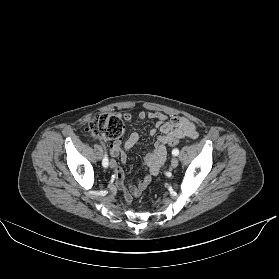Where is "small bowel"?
I'll return each mask as SVG.
<instances>
[{"mask_svg":"<svg viewBox=\"0 0 279 279\" xmlns=\"http://www.w3.org/2000/svg\"><path fill=\"white\" fill-rule=\"evenodd\" d=\"M122 118L129 122L133 119V116L131 113L126 112L122 115ZM138 118L155 120V126L150 130V134L156 135L158 131L160 134L157 136V142L154 148L144 155V165L147 174L138 180L136 185H126L122 168L117 165L114 167V180L119 190L123 192L124 199L127 203H130L133 197L139 196L150 183L152 176L159 173L161 167L166 161V145L168 144L169 139L172 137L195 139L198 136L195 125L185 117L174 116L168 119L163 113L158 111H140ZM138 140L139 135L136 132L131 133L124 142L120 139H116L109 145L110 155L113 157H120L121 163H126L127 156L124 151L130 150L135 146Z\"/></svg>","mask_w":279,"mask_h":279,"instance_id":"obj_1","label":"small bowel"}]
</instances>
